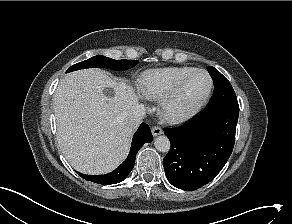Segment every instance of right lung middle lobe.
Segmentation results:
<instances>
[{
  "label": "right lung middle lobe",
  "mask_w": 292,
  "mask_h": 224,
  "mask_svg": "<svg viewBox=\"0 0 292 224\" xmlns=\"http://www.w3.org/2000/svg\"><path fill=\"white\" fill-rule=\"evenodd\" d=\"M138 64V60H114L102 55L94 56L71 66L67 72L84 68H109L113 70H127Z\"/></svg>",
  "instance_id": "right-lung-middle-lobe-1"
}]
</instances>
